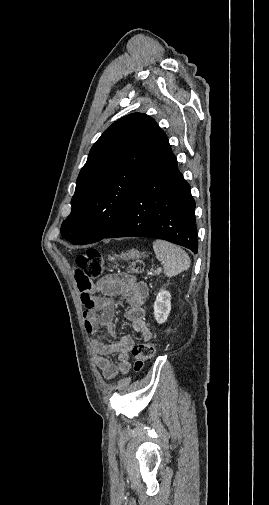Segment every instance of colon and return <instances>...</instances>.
I'll list each match as a JSON object with an SVG mask.
<instances>
[{"label":"colon","mask_w":269,"mask_h":505,"mask_svg":"<svg viewBox=\"0 0 269 505\" xmlns=\"http://www.w3.org/2000/svg\"><path fill=\"white\" fill-rule=\"evenodd\" d=\"M76 266L85 269L90 281H99L103 271V259L97 249H88L77 255ZM142 269V262L136 260L129 264L128 271L132 274H139L142 272ZM132 352L134 357V369L140 371L145 364L154 357L156 345L150 342L140 343L133 348Z\"/></svg>","instance_id":"obj_1"}]
</instances>
